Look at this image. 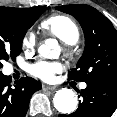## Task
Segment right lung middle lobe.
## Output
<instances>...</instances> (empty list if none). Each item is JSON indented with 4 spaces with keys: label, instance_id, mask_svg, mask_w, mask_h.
Instances as JSON below:
<instances>
[{
    "label": "right lung middle lobe",
    "instance_id": "obj_1",
    "mask_svg": "<svg viewBox=\"0 0 117 117\" xmlns=\"http://www.w3.org/2000/svg\"><path fill=\"white\" fill-rule=\"evenodd\" d=\"M47 9L46 6L26 10L0 6V68L2 61L20 54L26 31Z\"/></svg>",
    "mask_w": 117,
    "mask_h": 117
}]
</instances>
